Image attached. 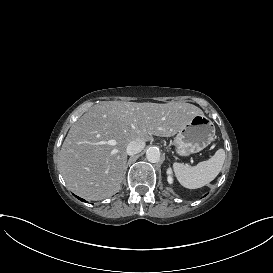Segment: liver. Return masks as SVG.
<instances>
[{
    "mask_svg": "<svg viewBox=\"0 0 273 273\" xmlns=\"http://www.w3.org/2000/svg\"><path fill=\"white\" fill-rule=\"evenodd\" d=\"M203 111L189 103L105 102L75 122L60 151V170L69 188L86 200L117 193L127 162V145L151 135H175Z\"/></svg>",
    "mask_w": 273,
    "mask_h": 273,
    "instance_id": "liver-1",
    "label": "liver"
}]
</instances>
